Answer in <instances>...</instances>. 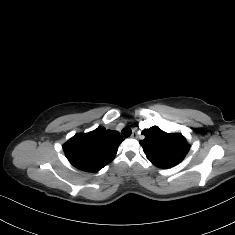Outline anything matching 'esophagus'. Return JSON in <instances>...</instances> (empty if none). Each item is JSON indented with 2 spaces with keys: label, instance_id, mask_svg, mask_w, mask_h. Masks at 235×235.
<instances>
[{
  "label": "esophagus",
  "instance_id": "esophagus-1",
  "mask_svg": "<svg viewBox=\"0 0 235 235\" xmlns=\"http://www.w3.org/2000/svg\"><path fill=\"white\" fill-rule=\"evenodd\" d=\"M131 138H134V139L138 138V134L135 130H133V132L131 134Z\"/></svg>",
  "mask_w": 235,
  "mask_h": 235
}]
</instances>
